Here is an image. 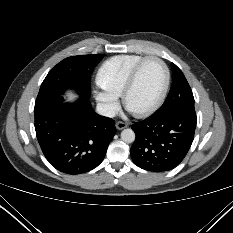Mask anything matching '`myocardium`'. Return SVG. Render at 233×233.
<instances>
[{"instance_id": "1", "label": "myocardium", "mask_w": 233, "mask_h": 233, "mask_svg": "<svg viewBox=\"0 0 233 233\" xmlns=\"http://www.w3.org/2000/svg\"><path fill=\"white\" fill-rule=\"evenodd\" d=\"M149 60H155V61L159 62L164 70L165 80H164L163 89H162L161 94L159 95L158 99L151 106H149L148 108L139 110V111H131L127 105L128 95L130 94V92L132 91V89L134 88V86L136 84V81H137V78H138V75H139V72H140L142 66ZM170 79H171L170 70H169L167 64L161 58H159L157 56H153V55L144 57L133 67V69L131 70V72L127 78L125 86L122 90L121 97H122V101H123L124 106L128 110H130L134 115L139 116V117H144V116H148V115L153 114L162 106V104L164 103V101L167 97L169 86H170Z\"/></svg>"}]
</instances>
